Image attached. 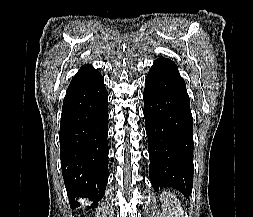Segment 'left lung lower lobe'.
<instances>
[{
	"label": "left lung lower lobe",
	"mask_w": 253,
	"mask_h": 217,
	"mask_svg": "<svg viewBox=\"0 0 253 217\" xmlns=\"http://www.w3.org/2000/svg\"><path fill=\"white\" fill-rule=\"evenodd\" d=\"M143 98L153 188L172 187L188 198L193 185V121L186 85L173 61L155 60Z\"/></svg>",
	"instance_id": "left-lung-lower-lobe-1"
}]
</instances>
